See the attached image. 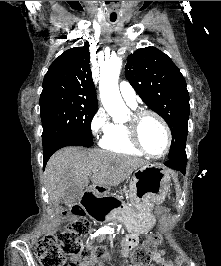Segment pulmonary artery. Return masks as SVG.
<instances>
[{
    "label": "pulmonary artery",
    "instance_id": "obj_1",
    "mask_svg": "<svg viewBox=\"0 0 221 266\" xmlns=\"http://www.w3.org/2000/svg\"><path fill=\"white\" fill-rule=\"evenodd\" d=\"M119 90L126 103L132 108H135L137 106L136 94L130 83L126 81L121 82L119 85Z\"/></svg>",
    "mask_w": 221,
    "mask_h": 266
}]
</instances>
